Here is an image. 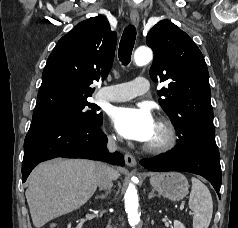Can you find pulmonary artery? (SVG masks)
I'll return each mask as SVG.
<instances>
[{
	"instance_id": "obj_1",
	"label": "pulmonary artery",
	"mask_w": 238,
	"mask_h": 228,
	"mask_svg": "<svg viewBox=\"0 0 238 228\" xmlns=\"http://www.w3.org/2000/svg\"><path fill=\"white\" fill-rule=\"evenodd\" d=\"M149 86L147 78L136 77L127 83L103 87L99 92V98L106 101H126L147 93Z\"/></svg>"
}]
</instances>
